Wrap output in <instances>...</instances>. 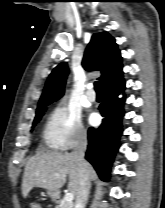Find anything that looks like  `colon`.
Listing matches in <instances>:
<instances>
[{"instance_id": "colon-1", "label": "colon", "mask_w": 165, "mask_h": 208, "mask_svg": "<svg viewBox=\"0 0 165 208\" xmlns=\"http://www.w3.org/2000/svg\"><path fill=\"white\" fill-rule=\"evenodd\" d=\"M30 208H42V207L38 202L33 201L30 203Z\"/></svg>"}]
</instances>
